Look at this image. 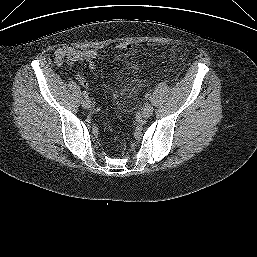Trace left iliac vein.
<instances>
[{
	"label": "left iliac vein",
	"mask_w": 257,
	"mask_h": 257,
	"mask_svg": "<svg viewBox=\"0 0 257 257\" xmlns=\"http://www.w3.org/2000/svg\"><path fill=\"white\" fill-rule=\"evenodd\" d=\"M153 111L154 109L150 105L145 106V108L142 110V117L146 119L149 118L152 116Z\"/></svg>",
	"instance_id": "left-iliac-vein-1"
}]
</instances>
